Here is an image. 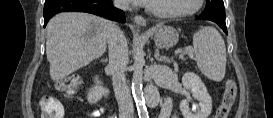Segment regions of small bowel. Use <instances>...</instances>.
Returning a JSON list of instances; mask_svg holds the SVG:
<instances>
[{
    "label": "small bowel",
    "instance_id": "c3829d8e",
    "mask_svg": "<svg viewBox=\"0 0 273 118\" xmlns=\"http://www.w3.org/2000/svg\"><path fill=\"white\" fill-rule=\"evenodd\" d=\"M99 111L91 113L92 116L99 115ZM172 114V101L170 98H166L160 112V118H169ZM175 117V116H173Z\"/></svg>",
    "mask_w": 273,
    "mask_h": 118
}]
</instances>
